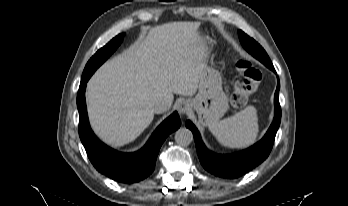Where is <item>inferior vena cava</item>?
<instances>
[{"instance_id":"obj_1","label":"inferior vena cava","mask_w":348,"mask_h":206,"mask_svg":"<svg viewBox=\"0 0 348 206\" xmlns=\"http://www.w3.org/2000/svg\"><path fill=\"white\" fill-rule=\"evenodd\" d=\"M169 110V106L165 103L158 104L154 107L153 111L155 114H164Z\"/></svg>"}]
</instances>
